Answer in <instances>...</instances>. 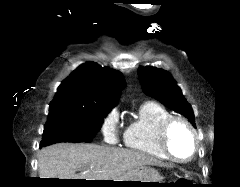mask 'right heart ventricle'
<instances>
[{
	"mask_svg": "<svg viewBox=\"0 0 240 187\" xmlns=\"http://www.w3.org/2000/svg\"><path fill=\"white\" fill-rule=\"evenodd\" d=\"M172 114L162 105L145 102L139 108L138 118L124 131V145L144 155L167 160L169 157L160 146V129Z\"/></svg>",
	"mask_w": 240,
	"mask_h": 187,
	"instance_id": "e07e8e85",
	"label": "right heart ventricle"
}]
</instances>
